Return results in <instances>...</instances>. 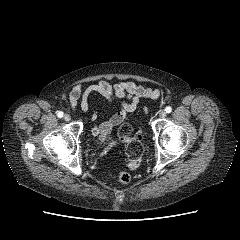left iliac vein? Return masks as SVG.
<instances>
[{
    "mask_svg": "<svg viewBox=\"0 0 240 240\" xmlns=\"http://www.w3.org/2000/svg\"><path fill=\"white\" fill-rule=\"evenodd\" d=\"M159 117H160V118L166 117V111H165V110H160V111H159Z\"/></svg>",
    "mask_w": 240,
    "mask_h": 240,
    "instance_id": "obj_1",
    "label": "left iliac vein"
}]
</instances>
